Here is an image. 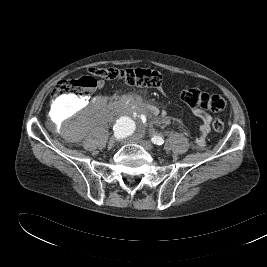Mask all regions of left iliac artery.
Returning a JSON list of instances; mask_svg holds the SVG:
<instances>
[{
	"label": "left iliac artery",
	"mask_w": 267,
	"mask_h": 267,
	"mask_svg": "<svg viewBox=\"0 0 267 267\" xmlns=\"http://www.w3.org/2000/svg\"><path fill=\"white\" fill-rule=\"evenodd\" d=\"M151 141L156 145H162L164 143V139L161 136H153Z\"/></svg>",
	"instance_id": "obj_1"
}]
</instances>
